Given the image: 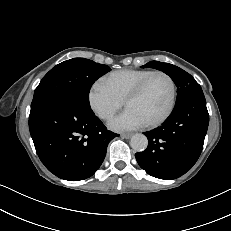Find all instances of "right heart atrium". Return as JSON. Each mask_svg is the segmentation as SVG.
<instances>
[{"instance_id": "1", "label": "right heart atrium", "mask_w": 231, "mask_h": 231, "mask_svg": "<svg viewBox=\"0 0 231 231\" xmlns=\"http://www.w3.org/2000/svg\"><path fill=\"white\" fill-rule=\"evenodd\" d=\"M88 102L93 112L102 120H110L123 106V101L103 81L92 84Z\"/></svg>"}]
</instances>
